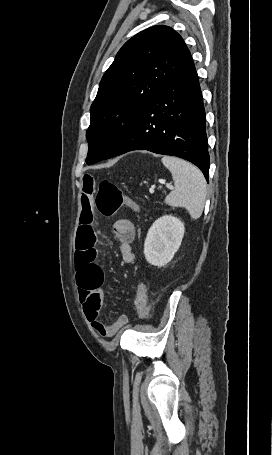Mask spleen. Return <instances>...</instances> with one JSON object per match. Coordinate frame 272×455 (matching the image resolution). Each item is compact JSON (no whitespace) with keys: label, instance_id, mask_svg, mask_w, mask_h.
<instances>
[{"label":"spleen","instance_id":"spleen-1","mask_svg":"<svg viewBox=\"0 0 272 455\" xmlns=\"http://www.w3.org/2000/svg\"><path fill=\"white\" fill-rule=\"evenodd\" d=\"M162 163L170 170L175 187L165 198L172 207H184L191 218L198 219L206 200V181L202 172L187 161L164 156Z\"/></svg>","mask_w":272,"mask_h":455}]
</instances>
